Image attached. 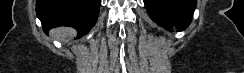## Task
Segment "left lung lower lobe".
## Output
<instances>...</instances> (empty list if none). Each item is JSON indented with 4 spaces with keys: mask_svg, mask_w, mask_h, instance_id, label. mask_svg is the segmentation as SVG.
Returning a JSON list of instances; mask_svg holds the SVG:
<instances>
[{
    "mask_svg": "<svg viewBox=\"0 0 244 73\" xmlns=\"http://www.w3.org/2000/svg\"><path fill=\"white\" fill-rule=\"evenodd\" d=\"M148 14L159 26L187 28L191 22L196 0H144Z\"/></svg>",
    "mask_w": 244,
    "mask_h": 73,
    "instance_id": "1",
    "label": "left lung lower lobe"
}]
</instances>
